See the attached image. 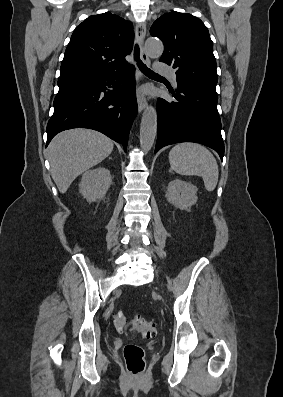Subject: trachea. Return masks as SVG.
<instances>
[{
  "mask_svg": "<svg viewBox=\"0 0 283 397\" xmlns=\"http://www.w3.org/2000/svg\"><path fill=\"white\" fill-rule=\"evenodd\" d=\"M134 58L137 61V65L140 71L148 77H162L149 69L140 59H139V46L136 44L134 49Z\"/></svg>",
  "mask_w": 283,
  "mask_h": 397,
  "instance_id": "1",
  "label": "trachea"
}]
</instances>
